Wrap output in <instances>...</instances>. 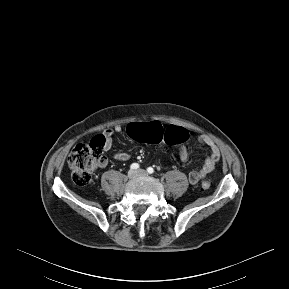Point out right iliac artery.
Segmentation results:
<instances>
[{
	"label": "right iliac artery",
	"instance_id": "1",
	"mask_svg": "<svg viewBox=\"0 0 289 289\" xmlns=\"http://www.w3.org/2000/svg\"><path fill=\"white\" fill-rule=\"evenodd\" d=\"M130 168L133 169V170L138 169L139 168V164L138 163H133V164H131Z\"/></svg>",
	"mask_w": 289,
	"mask_h": 289
}]
</instances>
